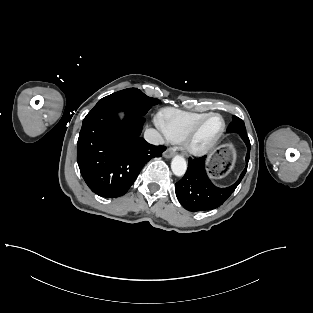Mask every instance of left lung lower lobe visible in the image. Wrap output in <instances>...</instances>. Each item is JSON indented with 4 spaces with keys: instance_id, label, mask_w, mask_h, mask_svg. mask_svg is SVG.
Instances as JSON below:
<instances>
[{
    "instance_id": "1",
    "label": "left lung lower lobe",
    "mask_w": 313,
    "mask_h": 313,
    "mask_svg": "<svg viewBox=\"0 0 313 313\" xmlns=\"http://www.w3.org/2000/svg\"><path fill=\"white\" fill-rule=\"evenodd\" d=\"M238 134L247 146L246 167L239 179L230 187L218 188L212 184L206 173V156L190 159L184 177L175 184L176 196L185 209L192 212L215 209L234 192L246 173L250 156V140L247 134Z\"/></svg>"
}]
</instances>
